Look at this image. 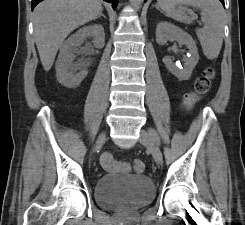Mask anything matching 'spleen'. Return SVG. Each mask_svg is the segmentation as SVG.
I'll return each instance as SVG.
<instances>
[{
    "mask_svg": "<svg viewBox=\"0 0 245 225\" xmlns=\"http://www.w3.org/2000/svg\"><path fill=\"white\" fill-rule=\"evenodd\" d=\"M158 6L168 17L191 23V19L178 7L188 5L199 9L204 27L196 30L204 55L208 59L218 57L224 36V9L219 0H157Z\"/></svg>",
    "mask_w": 245,
    "mask_h": 225,
    "instance_id": "spleen-1",
    "label": "spleen"
}]
</instances>
